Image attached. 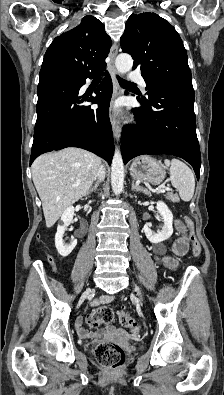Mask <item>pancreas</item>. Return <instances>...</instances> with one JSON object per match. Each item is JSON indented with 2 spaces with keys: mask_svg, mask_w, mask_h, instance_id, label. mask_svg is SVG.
I'll return each mask as SVG.
<instances>
[{
  "mask_svg": "<svg viewBox=\"0 0 224 395\" xmlns=\"http://www.w3.org/2000/svg\"><path fill=\"white\" fill-rule=\"evenodd\" d=\"M166 198H167L168 200L172 201L173 203L179 201L178 196H177L176 194H173V193H167V194H166Z\"/></svg>",
  "mask_w": 224,
  "mask_h": 395,
  "instance_id": "obj_1",
  "label": "pancreas"
}]
</instances>
